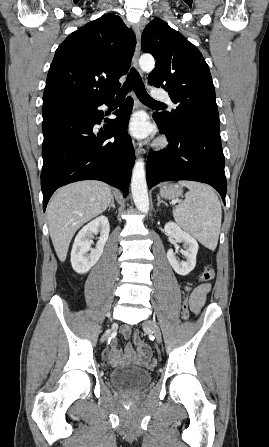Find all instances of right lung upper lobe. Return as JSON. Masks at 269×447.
I'll list each match as a JSON object with an SVG mask.
<instances>
[{
	"label": "right lung upper lobe",
	"mask_w": 269,
	"mask_h": 447,
	"mask_svg": "<svg viewBox=\"0 0 269 447\" xmlns=\"http://www.w3.org/2000/svg\"><path fill=\"white\" fill-rule=\"evenodd\" d=\"M136 37L108 13L70 34L57 48L43 104L116 92L130 67Z\"/></svg>",
	"instance_id": "1"
}]
</instances>
